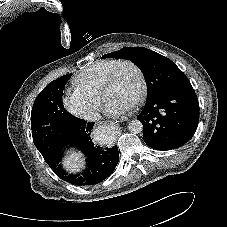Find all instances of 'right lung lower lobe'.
Listing matches in <instances>:
<instances>
[{"label": "right lung lower lobe", "mask_w": 227, "mask_h": 227, "mask_svg": "<svg viewBox=\"0 0 227 227\" xmlns=\"http://www.w3.org/2000/svg\"><path fill=\"white\" fill-rule=\"evenodd\" d=\"M93 122L74 117L64 124L62 131L57 134V141L44 156L49 167L64 181L84 186L97 184L114 171L118 161L117 146L103 148L94 145L90 137ZM75 147L86 156L87 167L79 174H71L62 167L61 160L66 148Z\"/></svg>", "instance_id": "obj_1"}]
</instances>
